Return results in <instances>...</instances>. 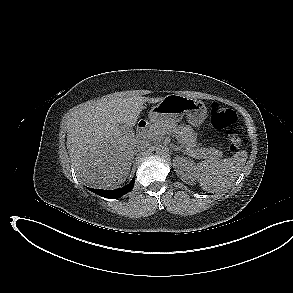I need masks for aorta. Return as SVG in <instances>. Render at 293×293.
<instances>
[{
  "mask_svg": "<svg viewBox=\"0 0 293 293\" xmlns=\"http://www.w3.org/2000/svg\"><path fill=\"white\" fill-rule=\"evenodd\" d=\"M156 153L158 154V155H160V156H164V155H166L167 153H168V148L165 146V145H158L157 147H156Z\"/></svg>",
  "mask_w": 293,
  "mask_h": 293,
  "instance_id": "1",
  "label": "aorta"
}]
</instances>
